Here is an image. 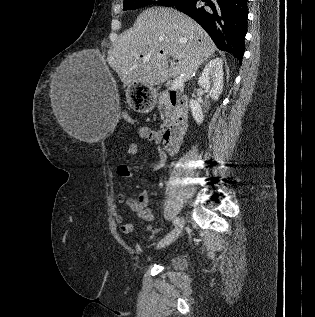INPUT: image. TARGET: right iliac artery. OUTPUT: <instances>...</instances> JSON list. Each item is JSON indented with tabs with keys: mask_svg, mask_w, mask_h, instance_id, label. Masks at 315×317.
Returning a JSON list of instances; mask_svg holds the SVG:
<instances>
[{
	"mask_svg": "<svg viewBox=\"0 0 315 317\" xmlns=\"http://www.w3.org/2000/svg\"><path fill=\"white\" fill-rule=\"evenodd\" d=\"M174 225L176 226L178 223H179V218L178 217H176L175 219H174Z\"/></svg>",
	"mask_w": 315,
	"mask_h": 317,
	"instance_id": "82829eb1",
	"label": "right iliac artery"
}]
</instances>
